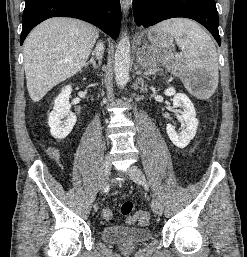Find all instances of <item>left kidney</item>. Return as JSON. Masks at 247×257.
I'll return each mask as SVG.
<instances>
[{
	"label": "left kidney",
	"instance_id": "1",
	"mask_svg": "<svg viewBox=\"0 0 247 257\" xmlns=\"http://www.w3.org/2000/svg\"><path fill=\"white\" fill-rule=\"evenodd\" d=\"M164 93L166 96H173L174 107L182 108L181 118L185 123V128H183L179 134L171 124H167V135L175 146L185 148L194 138L198 127V120L193 103L189 97L183 93H176L175 89L172 87L167 88Z\"/></svg>",
	"mask_w": 247,
	"mask_h": 257
}]
</instances>
